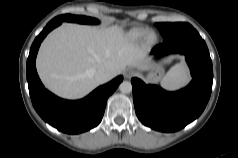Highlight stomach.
Returning a JSON list of instances; mask_svg holds the SVG:
<instances>
[{
  "instance_id": "1",
  "label": "stomach",
  "mask_w": 238,
  "mask_h": 158,
  "mask_svg": "<svg viewBox=\"0 0 238 158\" xmlns=\"http://www.w3.org/2000/svg\"><path fill=\"white\" fill-rule=\"evenodd\" d=\"M164 73V68L161 64L154 65L149 73L146 75L145 80L151 83H157L161 80Z\"/></svg>"
}]
</instances>
